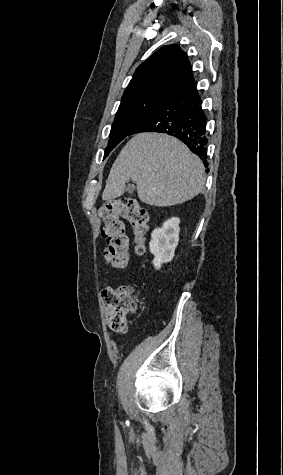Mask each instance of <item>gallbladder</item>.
Wrapping results in <instances>:
<instances>
[{
	"instance_id": "1",
	"label": "gallbladder",
	"mask_w": 283,
	"mask_h": 475,
	"mask_svg": "<svg viewBox=\"0 0 283 475\" xmlns=\"http://www.w3.org/2000/svg\"><path fill=\"white\" fill-rule=\"evenodd\" d=\"M134 190H135L134 184H128V186H126V192H129V194H132Z\"/></svg>"
}]
</instances>
